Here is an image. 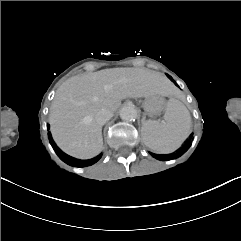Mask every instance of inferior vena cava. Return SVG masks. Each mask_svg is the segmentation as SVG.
<instances>
[{"mask_svg":"<svg viewBox=\"0 0 241 241\" xmlns=\"http://www.w3.org/2000/svg\"><path fill=\"white\" fill-rule=\"evenodd\" d=\"M112 116L113 113L111 111L102 109L96 114L95 120L99 125H104Z\"/></svg>","mask_w":241,"mask_h":241,"instance_id":"inferior-vena-cava-1","label":"inferior vena cava"}]
</instances>
